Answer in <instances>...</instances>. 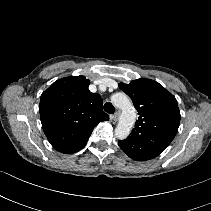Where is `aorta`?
<instances>
[{"mask_svg": "<svg viewBox=\"0 0 211 211\" xmlns=\"http://www.w3.org/2000/svg\"><path fill=\"white\" fill-rule=\"evenodd\" d=\"M112 103L122 110L118 124L115 128V136L123 140L127 138L135 124L137 112L132 101L125 93H116L111 97Z\"/></svg>", "mask_w": 211, "mask_h": 211, "instance_id": "obj_1", "label": "aorta"}]
</instances>
